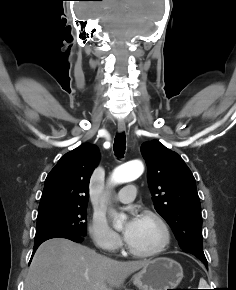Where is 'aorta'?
Here are the masks:
<instances>
[{
	"label": "aorta",
	"mask_w": 236,
	"mask_h": 290,
	"mask_svg": "<svg viewBox=\"0 0 236 290\" xmlns=\"http://www.w3.org/2000/svg\"><path fill=\"white\" fill-rule=\"evenodd\" d=\"M144 166L140 161H131L117 167L111 175V183L122 184L136 180L142 175ZM126 218L125 215H121L114 224L116 229L122 228V221Z\"/></svg>",
	"instance_id": "762f6f07"
}]
</instances>
